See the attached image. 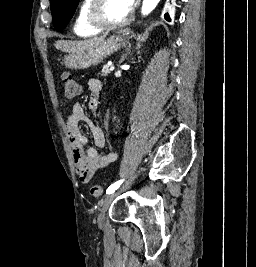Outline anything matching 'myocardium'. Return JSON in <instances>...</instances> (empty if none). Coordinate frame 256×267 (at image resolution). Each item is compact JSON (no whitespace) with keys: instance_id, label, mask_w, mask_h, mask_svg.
<instances>
[{"instance_id":"f54148a6","label":"myocardium","mask_w":256,"mask_h":267,"mask_svg":"<svg viewBox=\"0 0 256 267\" xmlns=\"http://www.w3.org/2000/svg\"><path fill=\"white\" fill-rule=\"evenodd\" d=\"M108 1H111V0H93V4L91 5V8L88 13V20L95 29L100 30L102 32L115 31L119 28H122L128 25L134 20V18L131 17V19L127 23H125L124 25H120V26L107 24L101 17V11H102L104 3Z\"/></svg>"}]
</instances>
